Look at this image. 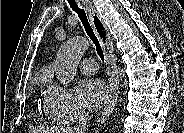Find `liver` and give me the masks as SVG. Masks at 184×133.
<instances>
[{"instance_id":"6515ba94","label":"liver","mask_w":184,"mask_h":133,"mask_svg":"<svg viewBox=\"0 0 184 133\" xmlns=\"http://www.w3.org/2000/svg\"><path fill=\"white\" fill-rule=\"evenodd\" d=\"M35 133H73V131L69 128L63 127H46V128H39L34 130Z\"/></svg>"}]
</instances>
